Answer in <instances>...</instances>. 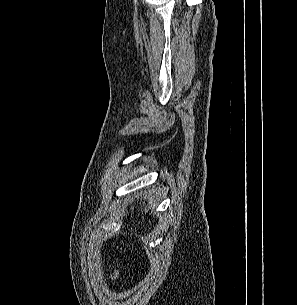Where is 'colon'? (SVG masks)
<instances>
[{
  "label": "colon",
  "mask_w": 297,
  "mask_h": 305,
  "mask_svg": "<svg viewBox=\"0 0 297 305\" xmlns=\"http://www.w3.org/2000/svg\"><path fill=\"white\" fill-rule=\"evenodd\" d=\"M119 278H120V271L117 269L113 272L111 279L112 281H117Z\"/></svg>",
  "instance_id": "obj_1"
}]
</instances>
